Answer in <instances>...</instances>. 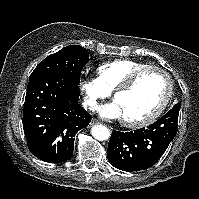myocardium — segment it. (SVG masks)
Listing matches in <instances>:
<instances>
[{"label": "myocardium", "mask_w": 199, "mask_h": 199, "mask_svg": "<svg viewBox=\"0 0 199 199\" xmlns=\"http://www.w3.org/2000/svg\"><path fill=\"white\" fill-rule=\"evenodd\" d=\"M152 71L159 72L166 78L167 86H168L167 93L163 101L160 103V105L147 117L139 119V120L122 119V123L126 127L141 128V127H145L152 124L163 114V112L165 111V109L167 108L168 104L171 101L173 91H174V83H173V79L171 75L165 69L158 66H152V65H148L146 67H143L141 69L134 71L122 84L116 87L112 91L113 100L115 101L118 95L122 93H126L129 90H131L143 75Z\"/></svg>", "instance_id": "f54148a6"}]
</instances>
